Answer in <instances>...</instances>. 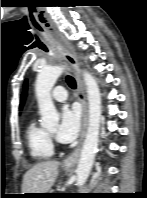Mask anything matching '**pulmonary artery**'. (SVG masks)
Returning <instances> with one entry per match:
<instances>
[{
    "label": "pulmonary artery",
    "instance_id": "1",
    "mask_svg": "<svg viewBox=\"0 0 147 198\" xmlns=\"http://www.w3.org/2000/svg\"><path fill=\"white\" fill-rule=\"evenodd\" d=\"M52 98L57 102H64L67 99V91L62 86H57L52 91Z\"/></svg>",
    "mask_w": 147,
    "mask_h": 198
}]
</instances>
